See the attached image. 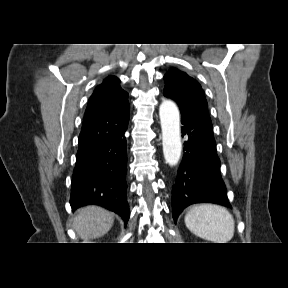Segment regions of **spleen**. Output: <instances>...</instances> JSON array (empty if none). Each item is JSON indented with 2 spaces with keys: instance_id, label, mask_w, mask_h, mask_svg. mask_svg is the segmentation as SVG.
Masks as SVG:
<instances>
[{
  "instance_id": "3e777b00",
  "label": "spleen",
  "mask_w": 288,
  "mask_h": 288,
  "mask_svg": "<svg viewBox=\"0 0 288 288\" xmlns=\"http://www.w3.org/2000/svg\"><path fill=\"white\" fill-rule=\"evenodd\" d=\"M186 227L196 236L213 243H227L234 236L233 216L222 206L201 204L185 215Z\"/></svg>"
}]
</instances>
